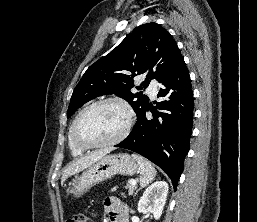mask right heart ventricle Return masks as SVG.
Instances as JSON below:
<instances>
[{
  "instance_id": "right-heart-ventricle-1",
  "label": "right heart ventricle",
  "mask_w": 257,
  "mask_h": 222,
  "mask_svg": "<svg viewBox=\"0 0 257 222\" xmlns=\"http://www.w3.org/2000/svg\"><path fill=\"white\" fill-rule=\"evenodd\" d=\"M72 125H73V123H72ZM72 125L70 126L69 132H68V145H69V148H70L71 153H72L74 156H78V155H81L85 150L78 148V147L74 144V142H73V140H72V137H71Z\"/></svg>"
}]
</instances>
